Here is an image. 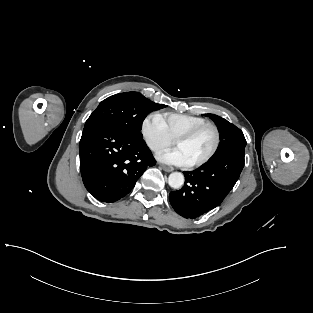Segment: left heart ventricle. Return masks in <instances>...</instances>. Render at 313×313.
I'll list each match as a JSON object with an SVG mask.
<instances>
[{
  "label": "left heart ventricle",
  "instance_id": "obj_1",
  "mask_svg": "<svg viewBox=\"0 0 313 313\" xmlns=\"http://www.w3.org/2000/svg\"><path fill=\"white\" fill-rule=\"evenodd\" d=\"M215 141L214 132L207 128L197 134L194 138L186 142L176 144L187 156L190 163L204 158L212 149Z\"/></svg>",
  "mask_w": 313,
  "mask_h": 313
}]
</instances>
